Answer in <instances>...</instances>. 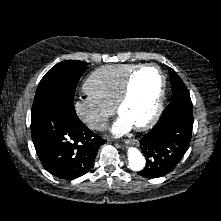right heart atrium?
Segmentation results:
<instances>
[{
	"label": "right heart atrium",
	"mask_w": 221,
	"mask_h": 221,
	"mask_svg": "<svg viewBox=\"0 0 221 221\" xmlns=\"http://www.w3.org/2000/svg\"><path fill=\"white\" fill-rule=\"evenodd\" d=\"M74 110L79 119L92 130H102L113 109L90 97H80L74 102Z\"/></svg>",
	"instance_id": "obj_1"
}]
</instances>
